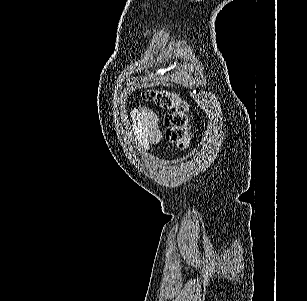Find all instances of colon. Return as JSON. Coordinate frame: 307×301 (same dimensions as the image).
Here are the masks:
<instances>
[{"mask_svg":"<svg viewBox=\"0 0 307 301\" xmlns=\"http://www.w3.org/2000/svg\"><path fill=\"white\" fill-rule=\"evenodd\" d=\"M143 98L167 111L164 118L166 139L179 149L188 148L191 142L188 103L177 94L167 91L147 90Z\"/></svg>","mask_w":307,"mask_h":301,"instance_id":"1","label":"colon"}]
</instances>
